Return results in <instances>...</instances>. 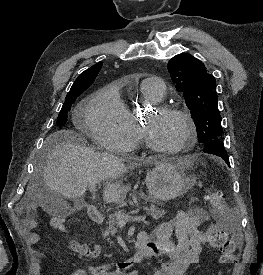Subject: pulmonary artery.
<instances>
[{"label": "pulmonary artery", "instance_id": "pulmonary-artery-1", "mask_svg": "<svg viewBox=\"0 0 263 275\" xmlns=\"http://www.w3.org/2000/svg\"><path fill=\"white\" fill-rule=\"evenodd\" d=\"M143 88L149 90L156 101L163 98L165 94V85L159 77H149L143 81Z\"/></svg>", "mask_w": 263, "mask_h": 275}]
</instances>
